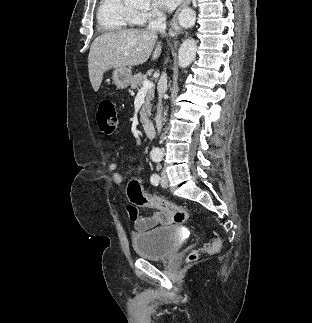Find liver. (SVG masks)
<instances>
[{
    "label": "liver",
    "instance_id": "obj_1",
    "mask_svg": "<svg viewBox=\"0 0 312 323\" xmlns=\"http://www.w3.org/2000/svg\"><path fill=\"white\" fill-rule=\"evenodd\" d=\"M157 38V32L149 28L107 32L95 38L88 56L89 80L94 92H98L103 74L110 68L140 66L147 62L153 50L152 60H157L162 50Z\"/></svg>",
    "mask_w": 312,
    "mask_h": 323
}]
</instances>
